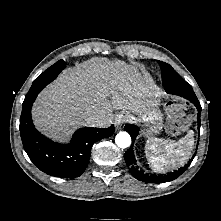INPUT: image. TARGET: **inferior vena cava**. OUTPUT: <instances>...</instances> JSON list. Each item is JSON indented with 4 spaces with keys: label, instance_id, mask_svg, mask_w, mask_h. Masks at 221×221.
<instances>
[{
    "label": "inferior vena cava",
    "instance_id": "obj_1",
    "mask_svg": "<svg viewBox=\"0 0 221 221\" xmlns=\"http://www.w3.org/2000/svg\"><path fill=\"white\" fill-rule=\"evenodd\" d=\"M89 123H94L95 121L98 120V115L92 114L86 119Z\"/></svg>",
    "mask_w": 221,
    "mask_h": 221
}]
</instances>
